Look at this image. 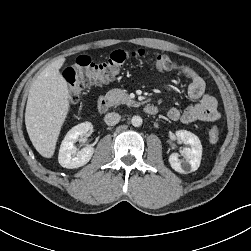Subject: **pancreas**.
<instances>
[{
    "label": "pancreas",
    "instance_id": "obj_1",
    "mask_svg": "<svg viewBox=\"0 0 251 251\" xmlns=\"http://www.w3.org/2000/svg\"><path fill=\"white\" fill-rule=\"evenodd\" d=\"M106 98L112 105L127 104L132 105L134 102L130 99L125 90L112 89L106 93Z\"/></svg>",
    "mask_w": 251,
    "mask_h": 251
}]
</instances>
